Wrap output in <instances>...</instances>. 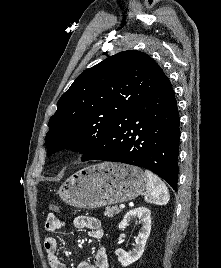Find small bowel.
Here are the masks:
<instances>
[{
  "label": "small bowel",
  "mask_w": 221,
  "mask_h": 268,
  "mask_svg": "<svg viewBox=\"0 0 221 268\" xmlns=\"http://www.w3.org/2000/svg\"><path fill=\"white\" fill-rule=\"evenodd\" d=\"M73 225L76 229H86L90 237L101 240L103 229L98 219L90 216H78L74 219ZM65 227V222L56 215L49 214L45 222V228L49 232H57ZM47 260L51 268H67L65 263L58 256V241L54 237H47L44 241ZM108 255L104 247H100L95 254L93 261H82L77 268H108Z\"/></svg>",
  "instance_id": "c3829d8e"
}]
</instances>
